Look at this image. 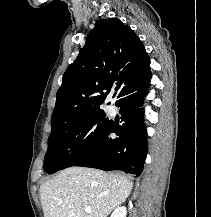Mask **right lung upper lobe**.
<instances>
[{
	"mask_svg": "<svg viewBox=\"0 0 211 217\" xmlns=\"http://www.w3.org/2000/svg\"><path fill=\"white\" fill-rule=\"evenodd\" d=\"M149 72L148 54L134 31L119 19L99 20L63 75L52 128L100 110L112 87L119 100L136 79Z\"/></svg>",
	"mask_w": 211,
	"mask_h": 217,
	"instance_id": "right-lung-upper-lobe-1",
	"label": "right lung upper lobe"
}]
</instances>
